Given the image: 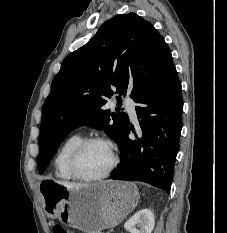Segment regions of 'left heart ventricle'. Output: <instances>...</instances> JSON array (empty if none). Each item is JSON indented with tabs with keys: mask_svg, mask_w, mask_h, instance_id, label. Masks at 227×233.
Masks as SVG:
<instances>
[{
	"mask_svg": "<svg viewBox=\"0 0 227 233\" xmlns=\"http://www.w3.org/2000/svg\"><path fill=\"white\" fill-rule=\"evenodd\" d=\"M111 162V152L102 143L88 145L80 154L77 167L80 173L94 176L104 172Z\"/></svg>",
	"mask_w": 227,
	"mask_h": 233,
	"instance_id": "left-heart-ventricle-1",
	"label": "left heart ventricle"
}]
</instances>
